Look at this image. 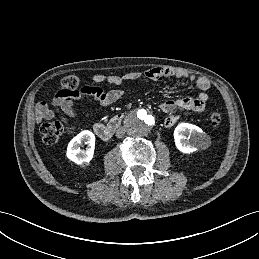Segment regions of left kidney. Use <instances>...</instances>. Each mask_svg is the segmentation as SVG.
Masks as SVG:
<instances>
[{
    "mask_svg": "<svg viewBox=\"0 0 259 259\" xmlns=\"http://www.w3.org/2000/svg\"><path fill=\"white\" fill-rule=\"evenodd\" d=\"M206 138L205 133L196 125L181 123L174 130V141L177 149L185 154H190L200 147Z\"/></svg>",
    "mask_w": 259,
    "mask_h": 259,
    "instance_id": "1",
    "label": "left kidney"
}]
</instances>
